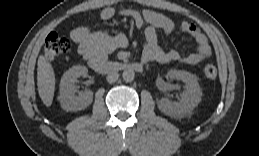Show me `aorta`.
Masks as SVG:
<instances>
[{"label": "aorta", "mask_w": 259, "mask_h": 156, "mask_svg": "<svg viewBox=\"0 0 259 156\" xmlns=\"http://www.w3.org/2000/svg\"><path fill=\"white\" fill-rule=\"evenodd\" d=\"M122 78L126 82H132L135 78V73L132 69H126L122 73Z\"/></svg>", "instance_id": "1"}]
</instances>
